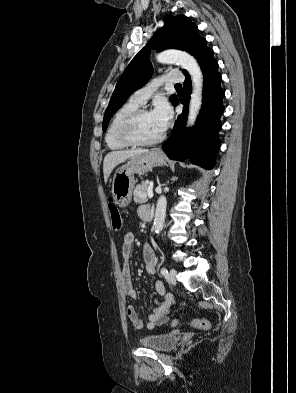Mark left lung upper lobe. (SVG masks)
Listing matches in <instances>:
<instances>
[{
	"label": "left lung upper lobe",
	"mask_w": 296,
	"mask_h": 393,
	"mask_svg": "<svg viewBox=\"0 0 296 393\" xmlns=\"http://www.w3.org/2000/svg\"><path fill=\"white\" fill-rule=\"evenodd\" d=\"M151 48L160 51L170 48L184 50L193 55L199 64L212 51L206 46V39L199 35L197 26L189 22L186 16L166 15L164 26L154 34L149 44L132 59L120 76L104 115L103 131L107 129L112 114L125 103L129 95L141 88L151 76L153 70L148 62ZM183 73L188 75L186 70H183ZM170 100L176 105L178 98L176 95H172Z\"/></svg>",
	"instance_id": "left-lung-upper-lobe-1"
}]
</instances>
